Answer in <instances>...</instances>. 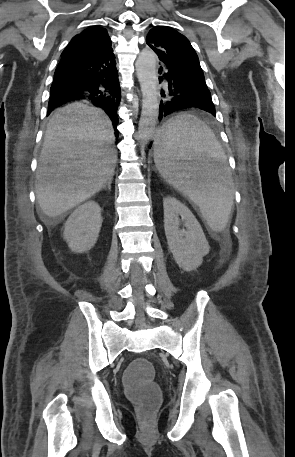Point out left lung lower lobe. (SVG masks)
Returning a JSON list of instances; mask_svg holds the SVG:
<instances>
[{"label": "left lung lower lobe", "instance_id": "obj_1", "mask_svg": "<svg viewBox=\"0 0 295 457\" xmlns=\"http://www.w3.org/2000/svg\"><path fill=\"white\" fill-rule=\"evenodd\" d=\"M148 45L158 55L161 65L159 72H163V77L168 82V90L161 92L165 100L160 103L159 119L186 108H199L215 116V107L211 94L204 84L203 72L191 69L169 58L153 45Z\"/></svg>", "mask_w": 295, "mask_h": 457}]
</instances>
